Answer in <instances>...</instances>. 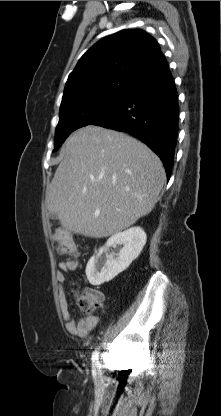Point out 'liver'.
<instances>
[{
	"label": "liver",
	"instance_id": "obj_1",
	"mask_svg": "<svg viewBox=\"0 0 221 416\" xmlns=\"http://www.w3.org/2000/svg\"><path fill=\"white\" fill-rule=\"evenodd\" d=\"M165 179L160 158L144 143L88 125L66 141L46 190V206L66 230L108 237L152 211Z\"/></svg>",
	"mask_w": 221,
	"mask_h": 416
}]
</instances>
